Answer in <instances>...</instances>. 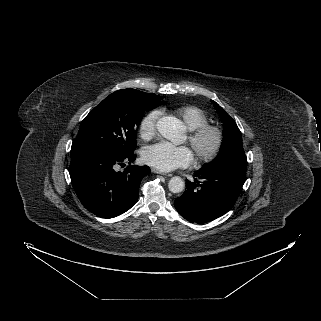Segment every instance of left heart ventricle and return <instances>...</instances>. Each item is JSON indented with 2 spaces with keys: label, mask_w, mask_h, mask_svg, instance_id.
Wrapping results in <instances>:
<instances>
[{
  "label": "left heart ventricle",
  "mask_w": 321,
  "mask_h": 321,
  "mask_svg": "<svg viewBox=\"0 0 321 321\" xmlns=\"http://www.w3.org/2000/svg\"><path fill=\"white\" fill-rule=\"evenodd\" d=\"M211 143V140H209L208 142H207V145H209Z\"/></svg>",
  "instance_id": "1"
}]
</instances>
